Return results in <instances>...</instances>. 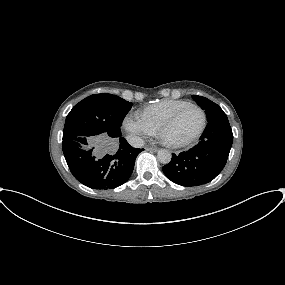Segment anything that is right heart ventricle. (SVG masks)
<instances>
[{
  "instance_id": "1",
  "label": "right heart ventricle",
  "mask_w": 285,
  "mask_h": 285,
  "mask_svg": "<svg viewBox=\"0 0 285 285\" xmlns=\"http://www.w3.org/2000/svg\"><path fill=\"white\" fill-rule=\"evenodd\" d=\"M189 104L184 100H164L150 105L141 111L138 116L154 131L167 121L177 110Z\"/></svg>"
}]
</instances>
